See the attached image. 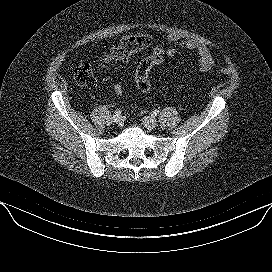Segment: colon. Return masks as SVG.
I'll return each instance as SVG.
<instances>
[{
    "label": "colon",
    "mask_w": 272,
    "mask_h": 272,
    "mask_svg": "<svg viewBox=\"0 0 272 272\" xmlns=\"http://www.w3.org/2000/svg\"><path fill=\"white\" fill-rule=\"evenodd\" d=\"M150 43V38L144 35L133 36L130 44L126 48L113 47L109 53L104 57L103 62L105 64H110L113 62L121 61L128 57L130 54L138 52ZM164 57L161 55H151L145 60H143L136 71L135 81L136 85L144 93H151L152 87L148 79V74L154 66H159L163 63ZM220 72L223 74L228 73L227 68H221ZM74 80L77 84L84 87H92L95 85L96 78L94 73V68L89 63H81L78 65L73 74ZM123 86L121 84H116L114 86V91L116 94L121 95L123 93Z\"/></svg>",
    "instance_id": "obj_1"
}]
</instances>
